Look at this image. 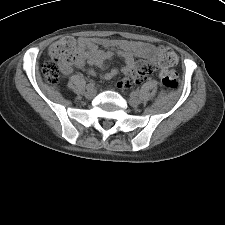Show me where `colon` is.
<instances>
[{
  "instance_id": "obj_1",
  "label": "colon",
  "mask_w": 225,
  "mask_h": 225,
  "mask_svg": "<svg viewBox=\"0 0 225 225\" xmlns=\"http://www.w3.org/2000/svg\"><path fill=\"white\" fill-rule=\"evenodd\" d=\"M77 61L75 43L72 38H63L54 43L50 48V61L43 65V74L49 84L55 85L60 76V66L73 65ZM178 63L176 53L167 48L161 51L158 57V65L142 61L133 74L123 78L117 83L121 91L131 89L140 84L150 75L160 70L163 86L167 89H175L179 85L178 76L169 69Z\"/></svg>"
}]
</instances>
